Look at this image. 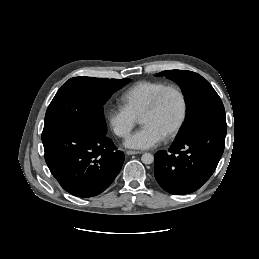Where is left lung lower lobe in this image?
Segmentation results:
<instances>
[{
	"mask_svg": "<svg viewBox=\"0 0 259 259\" xmlns=\"http://www.w3.org/2000/svg\"><path fill=\"white\" fill-rule=\"evenodd\" d=\"M227 127L208 125L174 140L168 151L155 154L154 175L171 194L199 189L213 174L223 154Z\"/></svg>",
	"mask_w": 259,
	"mask_h": 259,
	"instance_id": "1",
	"label": "left lung lower lobe"
}]
</instances>
